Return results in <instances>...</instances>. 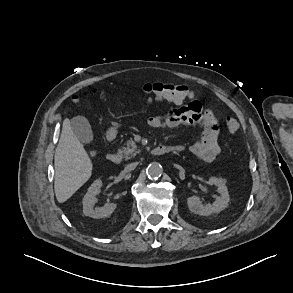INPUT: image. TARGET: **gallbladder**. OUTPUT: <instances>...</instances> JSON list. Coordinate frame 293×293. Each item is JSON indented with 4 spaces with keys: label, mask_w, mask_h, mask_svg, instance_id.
<instances>
[{
    "label": "gallbladder",
    "mask_w": 293,
    "mask_h": 293,
    "mask_svg": "<svg viewBox=\"0 0 293 293\" xmlns=\"http://www.w3.org/2000/svg\"><path fill=\"white\" fill-rule=\"evenodd\" d=\"M75 136L85 144L92 143L93 132L89 121L83 116L73 117L70 121Z\"/></svg>",
    "instance_id": "1"
}]
</instances>
